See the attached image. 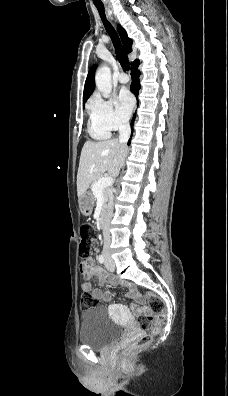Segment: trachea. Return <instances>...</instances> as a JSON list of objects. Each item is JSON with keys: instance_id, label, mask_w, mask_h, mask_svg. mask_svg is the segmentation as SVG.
Listing matches in <instances>:
<instances>
[{"instance_id": "3493384b", "label": "trachea", "mask_w": 228, "mask_h": 396, "mask_svg": "<svg viewBox=\"0 0 228 396\" xmlns=\"http://www.w3.org/2000/svg\"><path fill=\"white\" fill-rule=\"evenodd\" d=\"M98 12L100 14V17L104 23V26L106 28V31L108 32L109 36L112 39V42L114 44L115 47V51H116V56L118 61L120 62L121 66L123 67L124 70L129 71L130 70V63L129 60L127 58V56L125 55L121 42L119 40V37L115 31V29L113 28V26L106 20V16H105V11H104V7L101 6H97Z\"/></svg>"}]
</instances>
